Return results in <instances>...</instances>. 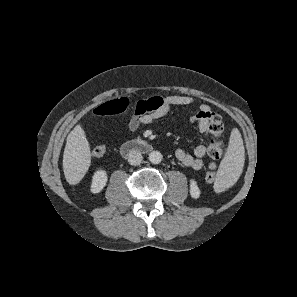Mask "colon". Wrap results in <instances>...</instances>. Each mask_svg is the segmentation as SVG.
<instances>
[{"mask_svg":"<svg viewBox=\"0 0 297 297\" xmlns=\"http://www.w3.org/2000/svg\"><path fill=\"white\" fill-rule=\"evenodd\" d=\"M129 101L126 98H116L108 101L94 109V113L98 116H110L118 115L127 110ZM150 107L147 100H140L134 106L135 114H144ZM209 131L211 134L207 152L211 159H219L224 151L225 141L222 136L223 132V121L222 116L218 113L213 112L209 119ZM105 154V148L103 146H97L93 150L95 157H101ZM216 175L214 172H208L205 176V180L209 184H213Z\"/></svg>","mask_w":297,"mask_h":297,"instance_id":"1","label":"colon"}]
</instances>
